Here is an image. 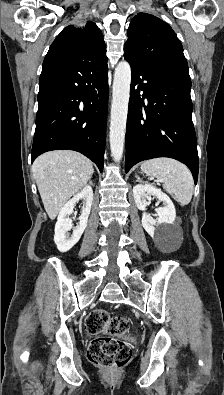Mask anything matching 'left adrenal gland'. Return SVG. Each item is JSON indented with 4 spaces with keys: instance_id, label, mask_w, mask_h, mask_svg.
Instances as JSON below:
<instances>
[{
    "instance_id": "a2214340",
    "label": "left adrenal gland",
    "mask_w": 224,
    "mask_h": 395,
    "mask_svg": "<svg viewBox=\"0 0 224 395\" xmlns=\"http://www.w3.org/2000/svg\"><path fill=\"white\" fill-rule=\"evenodd\" d=\"M135 177H136V179H137V180H136L137 182H141V181H142L138 175H135Z\"/></svg>"
}]
</instances>
